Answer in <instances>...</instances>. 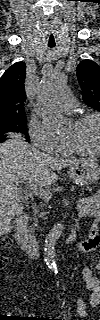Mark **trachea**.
Listing matches in <instances>:
<instances>
[{
	"label": "trachea",
	"instance_id": "3493384b",
	"mask_svg": "<svg viewBox=\"0 0 100 320\" xmlns=\"http://www.w3.org/2000/svg\"><path fill=\"white\" fill-rule=\"evenodd\" d=\"M49 47H50V48H54L55 46H54V45H50Z\"/></svg>",
	"mask_w": 100,
	"mask_h": 320
}]
</instances>
